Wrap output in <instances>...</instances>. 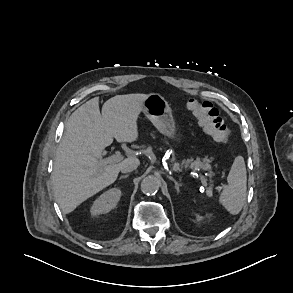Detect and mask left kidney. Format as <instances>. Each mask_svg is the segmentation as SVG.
Returning a JSON list of instances; mask_svg holds the SVG:
<instances>
[{"label":"left kidney","mask_w":293,"mask_h":293,"mask_svg":"<svg viewBox=\"0 0 293 293\" xmlns=\"http://www.w3.org/2000/svg\"><path fill=\"white\" fill-rule=\"evenodd\" d=\"M202 219H203L202 216H200V215H198V214L196 215V220H197V221H201Z\"/></svg>","instance_id":"5707ae66"}]
</instances>
